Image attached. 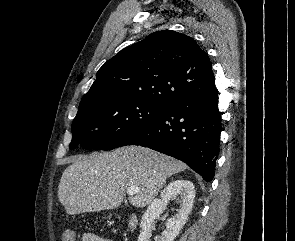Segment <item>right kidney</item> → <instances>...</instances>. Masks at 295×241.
<instances>
[{"instance_id":"ca27d5eb","label":"right kidney","mask_w":295,"mask_h":241,"mask_svg":"<svg viewBox=\"0 0 295 241\" xmlns=\"http://www.w3.org/2000/svg\"><path fill=\"white\" fill-rule=\"evenodd\" d=\"M179 198L180 208L177 214L169 218L166 222V229L161 236H156L155 241H173L183 228L192 210L195 198V188L188 180L172 181L161 192L160 197L153 200L148 206L141 219V232L138 241H150L151 232L154 230V221L165 209L167 203Z\"/></svg>"}]
</instances>
